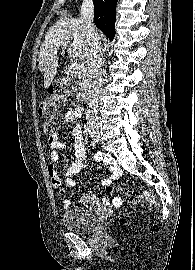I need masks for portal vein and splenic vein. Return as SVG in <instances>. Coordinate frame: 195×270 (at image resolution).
I'll return each mask as SVG.
<instances>
[{"label": "portal vein and splenic vein", "mask_w": 195, "mask_h": 270, "mask_svg": "<svg viewBox=\"0 0 195 270\" xmlns=\"http://www.w3.org/2000/svg\"><path fill=\"white\" fill-rule=\"evenodd\" d=\"M69 54L71 57L77 58L81 55V51L78 49H72V50H70Z\"/></svg>", "instance_id": "portal-vein-and-splenic-vein-1"}]
</instances>
